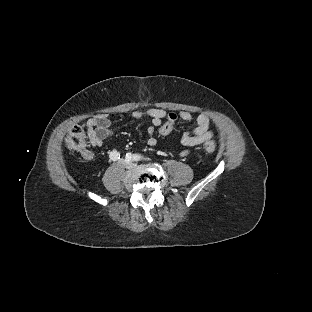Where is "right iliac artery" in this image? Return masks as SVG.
Returning a JSON list of instances; mask_svg holds the SVG:
<instances>
[{"mask_svg": "<svg viewBox=\"0 0 312 312\" xmlns=\"http://www.w3.org/2000/svg\"><path fill=\"white\" fill-rule=\"evenodd\" d=\"M119 158H120V154L117 151L113 150L110 153V159L115 161V160H117ZM126 159L128 161H138L139 160V159L136 158V155H132L131 153L126 154Z\"/></svg>", "mask_w": 312, "mask_h": 312, "instance_id": "82829eb1", "label": "right iliac artery"}]
</instances>
